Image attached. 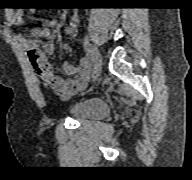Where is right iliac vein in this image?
<instances>
[{
    "label": "right iliac vein",
    "mask_w": 192,
    "mask_h": 180,
    "mask_svg": "<svg viewBox=\"0 0 192 180\" xmlns=\"http://www.w3.org/2000/svg\"><path fill=\"white\" fill-rule=\"evenodd\" d=\"M95 61H94V69H93V81H96L101 73L102 61L99 51L96 47L92 48Z\"/></svg>",
    "instance_id": "obj_1"
}]
</instances>
